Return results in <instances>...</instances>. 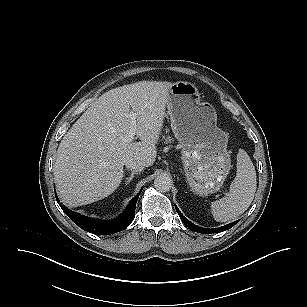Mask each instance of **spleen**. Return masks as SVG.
<instances>
[{
  "mask_svg": "<svg viewBox=\"0 0 307 307\" xmlns=\"http://www.w3.org/2000/svg\"><path fill=\"white\" fill-rule=\"evenodd\" d=\"M256 188L255 167L248 154L240 149L237 154V174L229 193L211 204L214 219L226 222L243 214L252 203Z\"/></svg>",
  "mask_w": 307,
  "mask_h": 307,
  "instance_id": "1",
  "label": "spleen"
}]
</instances>
